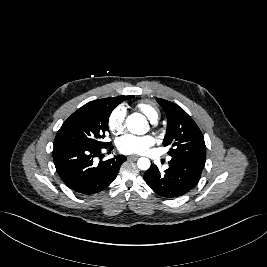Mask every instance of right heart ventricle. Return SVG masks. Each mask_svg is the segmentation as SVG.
Returning a JSON list of instances; mask_svg holds the SVG:
<instances>
[{"instance_id": "1", "label": "right heart ventricle", "mask_w": 267, "mask_h": 267, "mask_svg": "<svg viewBox=\"0 0 267 267\" xmlns=\"http://www.w3.org/2000/svg\"><path fill=\"white\" fill-rule=\"evenodd\" d=\"M136 108L142 112L151 122H156L159 118V110L155 104L144 100L136 104Z\"/></svg>"}]
</instances>
